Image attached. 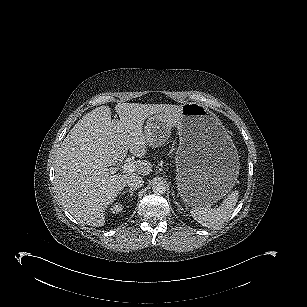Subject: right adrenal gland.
<instances>
[{
    "label": "right adrenal gland",
    "mask_w": 307,
    "mask_h": 307,
    "mask_svg": "<svg viewBox=\"0 0 307 307\" xmlns=\"http://www.w3.org/2000/svg\"><path fill=\"white\" fill-rule=\"evenodd\" d=\"M136 190V188H130L129 190L127 191H124L122 194H125V193H129L130 194V197L133 196V192Z\"/></svg>",
    "instance_id": "obj_1"
}]
</instances>
